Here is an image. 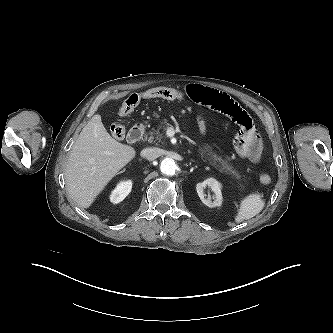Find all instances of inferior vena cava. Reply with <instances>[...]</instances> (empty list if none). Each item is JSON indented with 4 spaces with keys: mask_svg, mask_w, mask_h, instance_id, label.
I'll return each instance as SVG.
<instances>
[{
    "mask_svg": "<svg viewBox=\"0 0 333 333\" xmlns=\"http://www.w3.org/2000/svg\"><path fill=\"white\" fill-rule=\"evenodd\" d=\"M161 155V150L159 148H146L141 151V156L148 160H155Z\"/></svg>",
    "mask_w": 333,
    "mask_h": 333,
    "instance_id": "obj_1",
    "label": "inferior vena cava"
}]
</instances>
